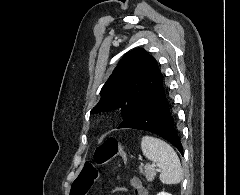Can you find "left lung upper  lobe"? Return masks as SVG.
I'll list each match as a JSON object with an SVG mask.
<instances>
[{
    "instance_id": "5c2ea615",
    "label": "left lung upper lobe",
    "mask_w": 240,
    "mask_h": 195,
    "mask_svg": "<svg viewBox=\"0 0 240 195\" xmlns=\"http://www.w3.org/2000/svg\"><path fill=\"white\" fill-rule=\"evenodd\" d=\"M163 87L159 66L147 51L134 49L124 55L100 91V101L92 114L120 109L123 121L132 120L141 108Z\"/></svg>"
}]
</instances>
